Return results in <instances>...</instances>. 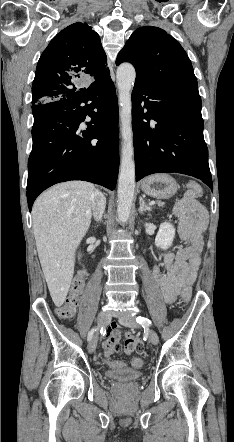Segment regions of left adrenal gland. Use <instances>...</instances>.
I'll return each mask as SVG.
<instances>
[{
  "label": "left adrenal gland",
  "mask_w": 234,
  "mask_h": 442,
  "mask_svg": "<svg viewBox=\"0 0 234 442\" xmlns=\"http://www.w3.org/2000/svg\"><path fill=\"white\" fill-rule=\"evenodd\" d=\"M140 207H139V213L143 214L145 211H152V208L148 205H146L145 201L142 197H140Z\"/></svg>",
  "instance_id": "obj_1"
}]
</instances>
